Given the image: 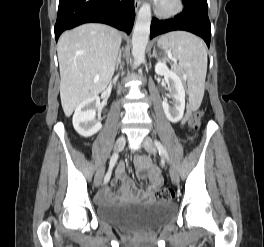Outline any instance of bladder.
Returning a JSON list of instances; mask_svg holds the SVG:
<instances>
[{
	"mask_svg": "<svg viewBox=\"0 0 264 247\" xmlns=\"http://www.w3.org/2000/svg\"><path fill=\"white\" fill-rule=\"evenodd\" d=\"M175 206L157 201L150 204L127 203L97 207L100 221L129 232H147L169 221Z\"/></svg>",
	"mask_w": 264,
	"mask_h": 247,
	"instance_id": "31cf9c89",
	"label": "bladder"
}]
</instances>
